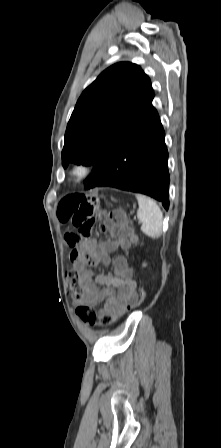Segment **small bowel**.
<instances>
[{
  "label": "small bowel",
  "instance_id": "obj_1",
  "mask_svg": "<svg viewBox=\"0 0 221 448\" xmlns=\"http://www.w3.org/2000/svg\"><path fill=\"white\" fill-rule=\"evenodd\" d=\"M100 218L111 237L100 243L97 250L94 241L81 239L74 231L66 232L63 237L66 245L71 248L69 258L78 272L89 275L90 266L113 265L114 275H98L90 280L78 301L96 310L97 324L107 316H121L137 296L136 282L132 278L127 259L119 255L111 261L110 253L117 249L128 250L138 242V235L128 225L113 223L107 213H102ZM86 256L90 257L89 262L84 260ZM101 302L104 303L102 308L97 309Z\"/></svg>",
  "mask_w": 221,
  "mask_h": 448
}]
</instances>
